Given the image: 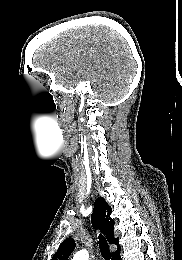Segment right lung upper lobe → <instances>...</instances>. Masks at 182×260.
<instances>
[{
    "label": "right lung upper lobe",
    "instance_id": "right-lung-upper-lobe-1",
    "mask_svg": "<svg viewBox=\"0 0 182 260\" xmlns=\"http://www.w3.org/2000/svg\"><path fill=\"white\" fill-rule=\"evenodd\" d=\"M111 213L112 208L106 203L104 198L100 197L95 201L91 222L94 228L100 227L103 229L110 244L114 243L117 245V251L112 253L114 254L119 252L121 248L118 244V238H114V220L110 218ZM75 246V241L72 238L66 239L61 243L52 260H68Z\"/></svg>",
    "mask_w": 182,
    "mask_h": 260
}]
</instances>
